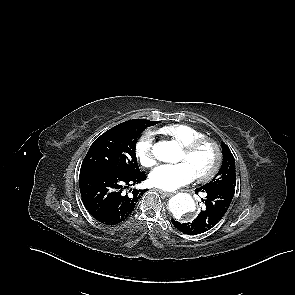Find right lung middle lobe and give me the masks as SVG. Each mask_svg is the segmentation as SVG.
Listing matches in <instances>:
<instances>
[{"label": "right lung middle lobe", "mask_w": 295, "mask_h": 295, "mask_svg": "<svg viewBox=\"0 0 295 295\" xmlns=\"http://www.w3.org/2000/svg\"><path fill=\"white\" fill-rule=\"evenodd\" d=\"M159 122L133 119L109 129L91 145L82 162L80 174L140 171L135 154L137 137L147 127Z\"/></svg>", "instance_id": "right-lung-middle-lobe-1"}]
</instances>
